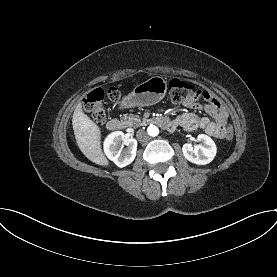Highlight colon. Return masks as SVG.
<instances>
[{"label":"colon","mask_w":277,"mask_h":277,"mask_svg":"<svg viewBox=\"0 0 277 277\" xmlns=\"http://www.w3.org/2000/svg\"><path fill=\"white\" fill-rule=\"evenodd\" d=\"M169 94L175 103H187L197 98L198 91L186 81L172 79L169 82ZM108 95L111 99H116L118 97V92L111 89ZM103 99L104 91L102 89H94L86 96L83 102L84 110L91 115L92 120L96 124H102L106 119ZM224 139L227 142L235 139V126L233 123L226 126Z\"/></svg>","instance_id":"obj_1"}]
</instances>
